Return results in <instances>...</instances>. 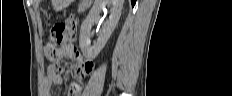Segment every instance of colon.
Returning <instances> with one entry per match:
<instances>
[{"mask_svg":"<svg viewBox=\"0 0 232 96\" xmlns=\"http://www.w3.org/2000/svg\"><path fill=\"white\" fill-rule=\"evenodd\" d=\"M66 25L67 20H58L50 28L48 36L49 42L47 43L48 48L45 49V54L51 60L57 61L63 55L68 56V53L71 51L78 52L75 47L69 48L65 46L67 42L65 35ZM91 71L92 68H87V73Z\"/></svg>","mask_w":232,"mask_h":96,"instance_id":"obj_1","label":"colon"}]
</instances>
